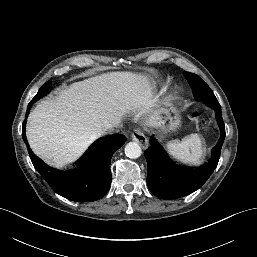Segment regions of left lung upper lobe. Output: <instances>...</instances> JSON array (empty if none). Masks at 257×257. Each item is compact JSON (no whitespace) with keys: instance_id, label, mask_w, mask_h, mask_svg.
Instances as JSON below:
<instances>
[{"instance_id":"5c2ea615","label":"left lung upper lobe","mask_w":257,"mask_h":257,"mask_svg":"<svg viewBox=\"0 0 257 257\" xmlns=\"http://www.w3.org/2000/svg\"><path fill=\"white\" fill-rule=\"evenodd\" d=\"M184 76L188 80L196 100H201L212 108L221 107L212 90L200 77L189 72H184Z\"/></svg>"}]
</instances>
